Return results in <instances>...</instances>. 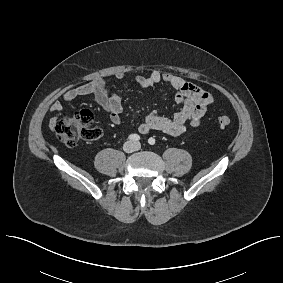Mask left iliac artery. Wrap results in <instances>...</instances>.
Wrapping results in <instances>:
<instances>
[{
	"label": "left iliac artery",
	"instance_id": "obj_1",
	"mask_svg": "<svg viewBox=\"0 0 283 283\" xmlns=\"http://www.w3.org/2000/svg\"><path fill=\"white\" fill-rule=\"evenodd\" d=\"M148 143H149L150 145H154V144H155V139L152 138V137H150V138L148 139Z\"/></svg>",
	"mask_w": 283,
	"mask_h": 283
}]
</instances>
